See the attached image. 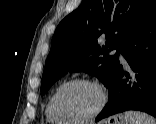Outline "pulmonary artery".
Wrapping results in <instances>:
<instances>
[{
  "mask_svg": "<svg viewBox=\"0 0 156 124\" xmlns=\"http://www.w3.org/2000/svg\"><path fill=\"white\" fill-rule=\"evenodd\" d=\"M112 52H113V53H117V52H118V50H117V49H113V51H112ZM119 57H120V60H121V61L126 62L125 58L122 56V54H121V53H119Z\"/></svg>",
  "mask_w": 156,
  "mask_h": 124,
  "instance_id": "pulmonary-artery-1",
  "label": "pulmonary artery"
}]
</instances>
